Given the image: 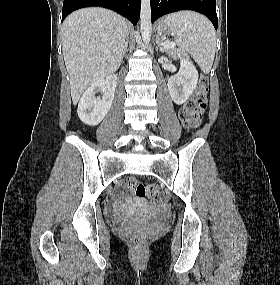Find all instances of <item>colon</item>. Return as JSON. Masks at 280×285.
I'll return each mask as SVG.
<instances>
[{
  "instance_id": "5ec220e1",
  "label": "colon",
  "mask_w": 280,
  "mask_h": 285,
  "mask_svg": "<svg viewBox=\"0 0 280 285\" xmlns=\"http://www.w3.org/2000/svg\"><path fill=\"white\" fill-rule=\"evenodd\" d=\"M208 100V78L201 75L196 90L180 111V119L187 129H194L200 125L201 115L207 107ZM126 186L139 197L148 196L153 204H162L164 194L154 185H146L135 178L126 180ZM134 245H141L144 237L135 235L132 237Z\"/></svg>"
}]
</instances>
